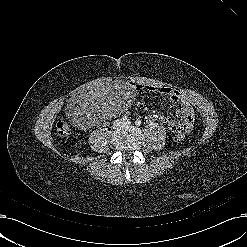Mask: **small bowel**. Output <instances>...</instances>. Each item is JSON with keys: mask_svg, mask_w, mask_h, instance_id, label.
Segmentation results:
<instances>
[{"mask_svg": "<svg viewBox=\"0 0 247 247\" xmlns=\"http://www.w3.org/2000/svg\"><path fill=\"white\" fill-rule=\"evenodd\" d=\"M139 87L140 89H146L151 92L165 94L178 106L177 117L166 116L162 118V121L166 123L171 130H183L186 132L192 130L194 125V109L186 97L170 87L160 85ZM153 118H155V116Z\"/></svg>", "mask_w": 247, "mask_h": 247, "instance_id": "1", "label": "small bowel"}]
</instances>
